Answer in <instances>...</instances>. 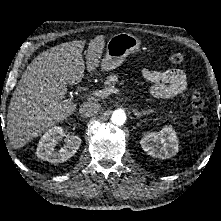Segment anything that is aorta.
I'll use <instances>...</instances> for the list:
<instances>
[{
	"label": "aorta",
	"instance_id": "obj_1",
	"mask_svg": "<svg viewBox=\"0 0 221 221\" xmlns=\"http://www.w3.org/2000/svg\"><path fill=\"white\" fill-rule=\"evenodd\" d=\"M114 125L122 126L126 121V113L123 110H115L111 116Z\"/></svg>",
	"mask_w": 221,
	"mask_h": 221
}]
</instances>
